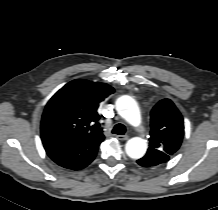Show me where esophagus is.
Listing matches in <instances>:
<instances>
[{
    "label": "esophagus",
    "mask_w": 218,
    "mask_h": 210,
    "mask_svg": "<svg viewBox=\"0 0 218 210\" xmlns=\"http://www.w3.org/2000/svg\"><path fill=\"white\" fill-rule=\"evenodd\" d=\"M116 138L119 140H128L129 136L128 135H117Z\"/></svg>",
    "instance_id": "obj_1"
}]
</instances>
